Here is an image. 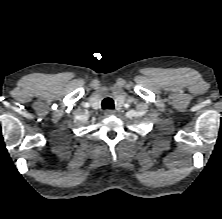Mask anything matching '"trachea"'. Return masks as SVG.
<instances>
[{
  "label": "trachea",
  "mask_w": 222,
  "mask_h": 219,
  "mask_svg": "<svg viewBox=\"0 0 222 219\" xmlns=\"http://www.w3.org/2000/svg\"><path fill=\"white\" fill-rule=\"evenodd\" d=\"M102 108L103 109H114V101L112 98H105L102 101Z\"/></svg>",
  "instance_id": "obj_1"
}]
</instances>
